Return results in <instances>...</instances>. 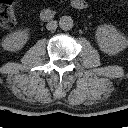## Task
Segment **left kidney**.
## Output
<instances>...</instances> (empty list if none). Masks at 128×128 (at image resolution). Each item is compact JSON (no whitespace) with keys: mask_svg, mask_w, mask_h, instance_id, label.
<instances>
[{"mask_svg":"<svg viewBox=\"0 0 128 128\" xmlns=\"http://www.w3.org/2000/svg\"><path fill=\"white\" fill-rule=\"evenodd\" d=\"M100 50L108 55H116L128 46V40L112 25L99 26L95 32Z\"/></svg>","mask_w":128,"mask_h":128,"instance_id":"1","label":"left kidney"}]
</instances>
